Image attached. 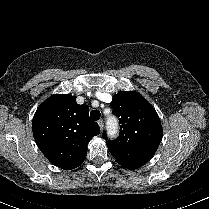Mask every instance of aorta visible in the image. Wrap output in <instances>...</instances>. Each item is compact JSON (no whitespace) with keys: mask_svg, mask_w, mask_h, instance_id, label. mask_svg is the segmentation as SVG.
<instances>
[{"mask_svg":"<svg viewBox=\"0 0 209 209\" xmlns=\"http://www.w3.org/2000/svg\"><path fill=\"white\" fill-rule=\"evenodd\" d=\"M107 132H108V135L110 137H114L116 136L117 132H118V122H117V119L115 117H110L108 118L107 120Z\"/></svg>","mask_w":209,"mask_h":209,"instance_id":"aorta-1","label":"aorta"}]
</instances>
